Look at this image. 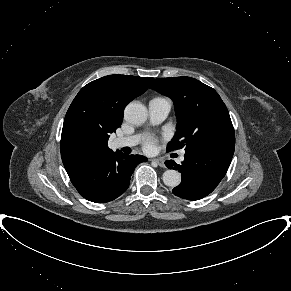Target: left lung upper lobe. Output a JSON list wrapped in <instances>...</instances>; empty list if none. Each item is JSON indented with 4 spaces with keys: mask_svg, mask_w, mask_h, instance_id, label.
<instances>
[{
    "mask_svg": "<svg viewBox=\"0 0 291 291\" xmlns=\"http://www.w3.org/2000/svg\"><path fill=\"white\" fill-rule=\"evenodd\" d=\"M150 88L173 100L177 132L167 150L235 147L229 112L218 93L191 77L155 79Z\"/></svg>",
    "mask_w": 291,
    "mask_h": 291,
    "instance_id": "obj_1",
    "label": "left lung upper lobe"
}]
</instances>
